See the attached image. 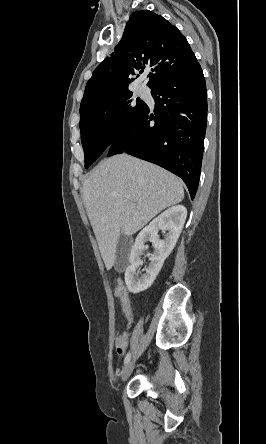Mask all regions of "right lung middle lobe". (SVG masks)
<instances>
[{
	"label": "right lung middle lobe",
	"instance_id": "right-lung-middle-lobe-1",
	"mask_svg": "<svg viewBox=\"0 0 266 444\" xmlns=\"http://www.w3.org/2000/svg\"><path fill=\"white\" fill-rule=\"evenodd\" d=\"M147 104L128 89L98 97L80 106L81 141L88 168L134 122Z\"/></svg>",
	"mask_w": 266,
	"mask_h": 444
}]
</instances>
